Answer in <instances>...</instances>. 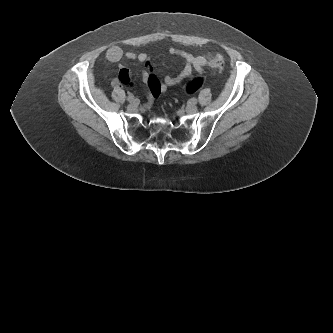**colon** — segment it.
<instances>
[{
  "label": "colon",
  "instance_id": "obj_1",
  "mask_svg": "<svg viewBox=\"0 0 333 333\" xmlns=\"http://www.w3.org/2000/svg\"><path fill=\"white\" fill-rule=\"evenodd\" d=\"M209 65L216 71H222L224 68V60L221 57H215L210 60ZM203 82V78L197 77L186 84L185 91L187 93H194L203 85Z\"/></svg>",
  "mask_w": 333,
  "mask_h": 333
}]
</instances>
